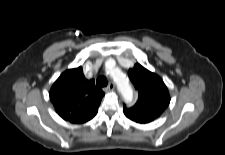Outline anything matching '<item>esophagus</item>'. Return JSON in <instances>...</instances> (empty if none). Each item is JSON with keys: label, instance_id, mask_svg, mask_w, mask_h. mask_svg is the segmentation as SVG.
Instances as JSON below:
<instances>
[{"label": "esophagus", "instance_id": "obj_1", "mask_svg": "<svg viewBox=\"0 0 225 155\" xmlns=\"http://www.w3.org/2000/svg\"><path fill=\"white\" fill-rule=\"evenodd\" d=\"M115 89V85L114 83H109V85L107 86V88H105V90L107 91H113Z\"/></svg>", "mask_w": 225, "mask_h": 155}]
</instances>
